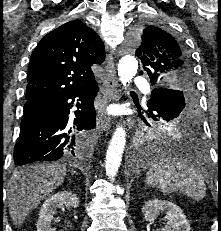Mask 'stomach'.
Segmentation results:
<instances>
[{"instance_id": "stomach-1", "label": "stomach", "mask_w": 221, "mask_h": 231, "mask_svg": "<svg viewBox=\"0 0 221 231\" xmlns=\"http://www.w3.org/2000/svg\"><path fill=\"white\" fill-rule=\"evenodd\" d=\"M173 128V130H176L177 128H178V126H176V127H172ZM167 133V132H166Z\"/></svg>"}]
</instances>
